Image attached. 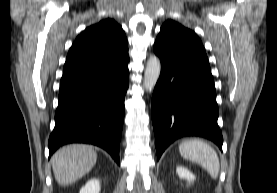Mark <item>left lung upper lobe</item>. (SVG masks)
<instances>
[{
  "label": "left lung upper lobe",
  "instance_id": "5c2ea615",
  "mask_svg": "<svg viewBox=\"0 0 277 193\" xmlns=\"http://www.w3.org/2000/svg\"><path fill=\"white\" fill-rule=\"evenodd\" d=\"M157 41L180 56L196 57L207 60L205 49L199 37L173 20H167L161 27Z\"/></svg>",
  "mask_w": 277,
  "mask_h": 193
}]
</instances>
